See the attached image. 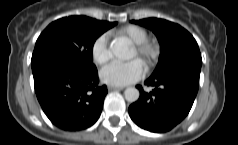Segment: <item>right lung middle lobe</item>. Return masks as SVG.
Masks as SVG:
<instances>
[{"label":"right lung middle lobe","instance_id":"right-lung-middle-lobe-1","mask_svg":"<svg viewBox=\"0 0 238 145\" xmlns=\"http://www.w3.org/2000/svg\"><path fill=\"white\" fill-rule=\"evenodd\" d=\"M117 22L98 21L86 16H69L52 22L36 41L31 62L63 58L86 68L93 64L95 40Z\"/></svg>","mask_w":238,"mask_h":145}]
</instances>
